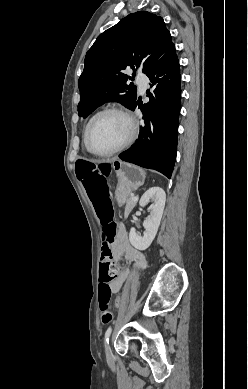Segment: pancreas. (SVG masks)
Masks as SVG:
<instances>
[{
  "label": "pancreas",
  "mask_w": 248,
  "mask_h": 389,
  "mask_svg": "<svg viewBox=\"0 0 248 389\" xmlns=\"http://www.w3.org/2000/svg\"><path fill=\"white\" fill-rule=\"evenodd\" d=\"M136 200H134L132 197L127 199L126 201V208H125V214H129L132 208L135 206Z\"/></svg>",
  "instance_id": "obj_1"
}]
</instances>
